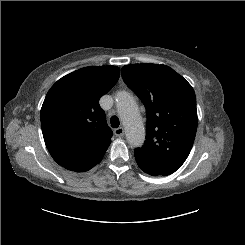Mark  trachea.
Instances as JSON below:
<instances>
[{
    "instance_id": "trachea-1",
    "label": "trachea",
    "mask_w": 245,
    "mask_h": 245,
    "mask_svg": "<svg viewBox=\"0 0 245 245\" xmlns=\"http://www.w3.org/2000/svg\"><path fill=\"white\" fill-rule=\"evenodd\" d=\"M110 122L113 128L119 127L120 122L117 116H112Z\"/></svg>"
}]
</instances>
